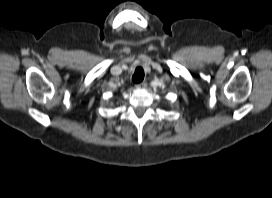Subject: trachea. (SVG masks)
Here are the masks:
<instances>
[{"mask_svg":"<svg viewBox=\"0 0 272 198\" xmlns=\"http://www.w3.org/2000/svg\"><path fill=\"white\" fill-rule=\"evenodd\" d=\"M144 79V71L142 68H137L135 73L132 76V80L134 83H140Z\"/></svg>","mask_w":272,"mask_h":198,"instance_id":"3493384b","label":"trachea"}]
</instances>
